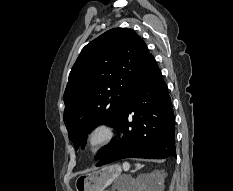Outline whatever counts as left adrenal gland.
<instances>
[{"label": "left adrenal gland", "mask_w": 233, "mask_h": 191, "mask_svg": "<svg viewBox=\"0 0 233 191\" xmlns=\"http://www.w3.org/2000/svg\"><path fill=\"white\" fill-rule=\"evenodd\" d=\"M142 166H140L139 164L138 165H136V169H135V171L136 170H138L139 168H141Z\"/></svg>", "instance_id": "left-adrenal-gland-1"}]
</instances>
